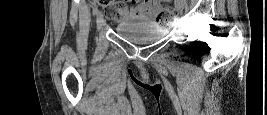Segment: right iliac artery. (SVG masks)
Masks as SVG:
<instances>
[{"mask_svg": "<svg viewBox=\"0 0 267 115\" xmlns=\"http://www.w3.org/2000/svg\"><path fill=\"white\" fill-rule=\"evenodd\" d=\"M98 13V7H95L94 9H93V15H96Z\"/></svg>", "mask_w": 267, "mask_h": 115, "instance_id": "right-iliac-artery-1", "label": "right iliac artery"}]
</instances>
